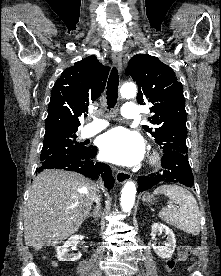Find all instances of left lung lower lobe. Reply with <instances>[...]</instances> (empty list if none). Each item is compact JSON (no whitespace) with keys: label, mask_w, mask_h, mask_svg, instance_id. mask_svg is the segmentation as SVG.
<instances>
[{"label":"left lung lower lobe","mask_w":221,"mask_h":276,"mask_svg":"<svg viewBox=\"0 0 221 276\" xmlns=\"http://www.w3.org/2000/svg\"><path fill=\"white\" fill-rule=\"evenodd\" d=\"M188 154L178 151H163L161 170L149 176L138 178V192L152 188L154 185L164 182L181 183L187 187H193L194 178L188 161Z\"/></svg>","instance_id":"1"}]
</instances>
